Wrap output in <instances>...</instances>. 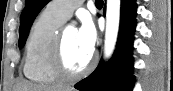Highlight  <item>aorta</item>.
<instances>
[{"label":"aorta","instance_id":"762f6f07","mask_svg":"<svg viewBox=\"0 0 173 91\" xmlns=\"http://www.w3.org/2000/svg\"><path fill=\"white\" fill-rule=\"evenodd\" d=\"M120 0H107L106 9V33L104 55L109 58L115 48L120 21Z\"/></svg>","mask_w":173,"mask_h":91}]
</instances>
